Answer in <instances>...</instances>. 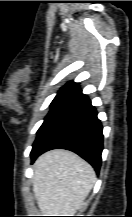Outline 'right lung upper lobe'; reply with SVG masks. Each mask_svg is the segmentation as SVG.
Masks as SVG:
<instances>
[{
	"label": "right lung upper lobe",
	"mask_w": 132,
	"mask_h": 217,
	"mask_svg": "<svg viewBox=\"0 0 132 217\" xmlns=\"http://www.w3.org/2000/svg\"><path fill=\"white\" fill-rule=\"evenodd\" d=\"M60 94H68L73 95L76 98H80L86 96L82 94V91L79 88V84L75 82H68L64 87H62L59 91Z\"/></svg>",
	"instance_id": "cb5924a9"
}]
</instances>
